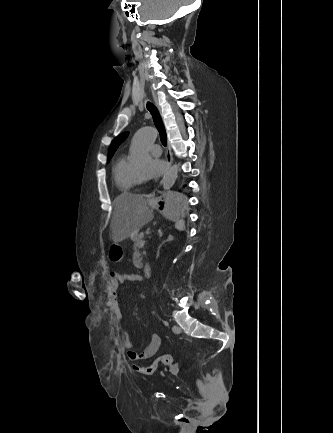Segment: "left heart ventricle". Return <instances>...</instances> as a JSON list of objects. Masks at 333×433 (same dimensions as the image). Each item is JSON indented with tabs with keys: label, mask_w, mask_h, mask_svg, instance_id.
<instances>
[{
	"label": "left heart ventricle",
	"mask_w": 333,
	"mask_h": 433,
	"mask_svg": "<svg viewBox=\"0 0 333 433\" xmlns=\"http://www.w3.org/2000/svg\"><path fill=\"white\" fill-rule=\"evenodd\" d=\"M150 156V155H149ZM146 168V164H141V165H137L135 166V170L143 177V172Z\"/></svg>",
	"instance_id": "b2bd125f"
}]
</instances>
